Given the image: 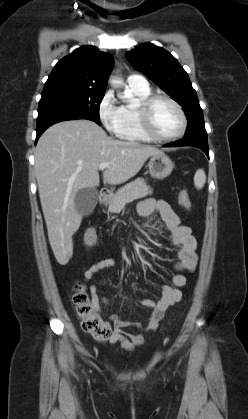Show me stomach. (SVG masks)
Here are the masks:
<instances>
[{
	"mask_svg": "<svg viewBox=\"0 0 248 419\" xmlns=\"http://www.w3.org/2000/svg\"><path fill=\"white\" fill-rule=\"evenodd\" d=\"M148 167L153 178L164 179L171 174L174 164L167 155L161 153L151 156Z\"/></svg>",
	"mask_w": 248,
	"mask_h": 419,
	"instance_id": "obj_1",
	"label": "stomach"
}]
</instances>
